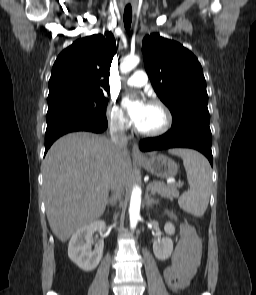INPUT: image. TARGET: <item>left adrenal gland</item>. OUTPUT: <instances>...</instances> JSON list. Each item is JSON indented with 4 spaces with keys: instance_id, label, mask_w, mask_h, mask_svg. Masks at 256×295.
Listing matches in <instances>:
<instances>
[{
    "instance_id": "a2214340",
    "label": "left adrenal gland",
    "mask_w": 256,
    "mask_h": 295,
    "mask_svg": "<svg viewBox=\"0 0 256 295\" xmlns=\"http://www.w3.org/2000/svg\"><path fill=\"white\" fill-rule=\"evenodd\" d=\"M158 200L150 197L149 193H148V189L146 191V194H145V204L148 208L152 207L153 205H157L158 204Z\"/></svg>"
}]
</instances>
